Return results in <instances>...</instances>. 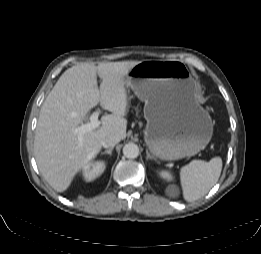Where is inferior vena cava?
Segmentation results:
<instances>
[{
    "label": "inferior vena cava",
    "mask_w": 261,
    "mask_h": 254,
    "mask_svg": "<svg viewBox=\"0 0 261 254\" xmlns=\"http://www.w3.org/2000/svg\"><path fill=\"white\" fill-rule=\"evenodd\" d=\"M120 141V138L118 135L113 134V135H108L103 138L102 140V146L105 148H111L114 147L118 142Z\"/></svg>",
    "instance_id": "inferior-vena-cava-1"
}]
</instances>
